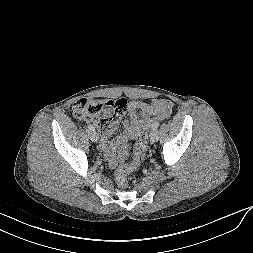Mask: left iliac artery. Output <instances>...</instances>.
I'll list each match as a JSON object with an SVG mask.
<instances>
[{
  "instance_id": "obj_1",
  "label": "left iliac artery",
  "mask_w": 253,
  "mask_h": 253,
  "mask_svg": "<svg viewBox=\"0 0 253 253\" xmlns=\"http://www.w3.org/2000/svg\"><path fill=\"white\" fill-rule=\"evenodd\" d=\"M159 127V122L156 121L152 124V129H157Z\"/></svg>"
}]
</instances>
